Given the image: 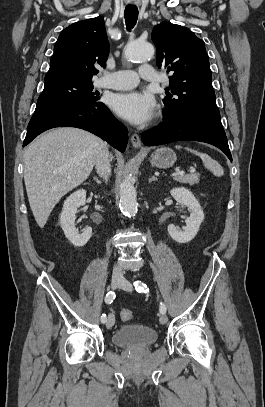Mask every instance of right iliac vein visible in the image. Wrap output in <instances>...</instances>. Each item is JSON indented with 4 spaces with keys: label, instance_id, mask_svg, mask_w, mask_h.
Returning <instances> with one entry per match:
<instances>
[{
    "label": "right iliac vein",
    "instance_id": "right-iliac-vein-1",
    "mask_svg": "<svg viewBox=\"0 0 265 407\" xmlns=\"http://www.w3.org/2000/svg\"><path fill=\"white\" fill-rule=\"evenodd\" d=\"M122 281H123V280H122L121 278H119V277H113V278L111 279V288H112V289H116L118 286L121 285ZM114 322H115L114 315H113V314H109V315H108V318H107V321H106V327H107L108 329L111 328V327L114 325Z\"/></svg>",
    "mask_w": 265,
    "mask_h": 407
}]
</instances>
